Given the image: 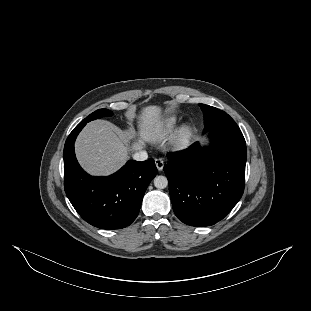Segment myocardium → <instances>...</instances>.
<instances>
[{"instance_id":"myocardium-1","label":"myocardium","mask_w":311,"mask_h":311,"mask_svg":"<svg viewBox=\"0 0 311 311\" xmlns=\"http://www.w3.org/2000/svg\"><path fill=\"white\" fill-rule=\"evenodd\" d=\"M193 129L189 125L182 126L176 136V144L178 147H185L187 146L192 138Z\"/></svg>"}]
</instances>
